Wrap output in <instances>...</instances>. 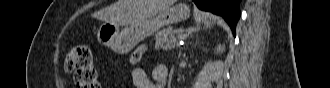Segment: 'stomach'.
Returning <instances> with one entry per match:
<instances>
[{"label":"stomach","mask_w":330,"mask_h":88,"mask_svg":"<svg viewBox=\"0 0 330 88\" xmlns=\"http://www.w3.org/2000/svg\"><path fill=\"white\" fill-rule=\"evenodd\" d=\"M190 16V9L185 4H177L161 11L156 16L131 24L119 30V25L103 22L97 31L98 41L114 52L123 54L132 50L139 42L161 28L184 21Z\"/></svg>","instance_id":"1"}]
</instances>
